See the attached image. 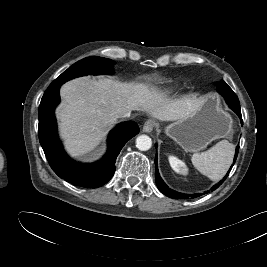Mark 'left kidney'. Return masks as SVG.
I'll return each mask as SVG.
<instances>
[{
	"label": "left kidney",
	"mask_w": 267,
	"mask_h": 267,
	"mask_svg": "<svg viewBox=\"0 0 267 267\" xmlns=\"http://www.w3.org/2000/svg\"><path fill=\"white\" fill-rule=\"evenodd\" d=\"M169 163L175 172L182 174V175H187L188 168L184 162H182L181 160L177 159L174 156H170Z\"/></svg>",
	"instance_id": "1"
}]
</instances>
